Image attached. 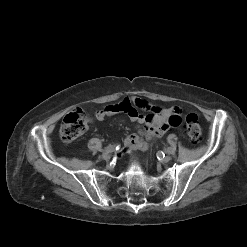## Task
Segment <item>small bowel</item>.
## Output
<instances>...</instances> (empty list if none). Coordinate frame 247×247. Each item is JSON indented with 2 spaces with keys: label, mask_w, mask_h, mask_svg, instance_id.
Wrapping results in <instances>:
<instances>
[{
  "label": "small bowel",
  "mask_w": 247,
  "mask_h": 247,
  "mask_svg": "<svg viewBox=\"0 0 247 247\" xmlns=\"http://www.w3.org/2000/svg\"><path fill=\"white\" fill-rule=\"evenodd\" d=\"M146 111L147 114L140 112ZM181 109L177 106L160 108L146 100L131 97L121 102L97 110L89 121H102L108 116L126 113L130 120L138 125V133L125 138L124 144L128 150L146 149L147 141L163 136L170 127H177L181 123Z\"/></svg>",
  "instance_id": "obj_1"
}]
</instances>
